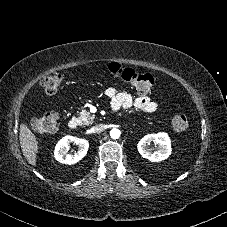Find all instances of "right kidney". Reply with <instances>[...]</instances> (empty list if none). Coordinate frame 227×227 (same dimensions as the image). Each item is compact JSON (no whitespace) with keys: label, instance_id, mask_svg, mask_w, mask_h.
<instances>
[{"label":"right kidney","instance_id":"1","mask_svg":"<svg viewBox=\"0 0 227 227\" xmlns=\"http://www.w3.org/2000/svg\"><path fill=\"white\" fill-rule=\"evenodd\" d=\"M72 142L78 145V151L74 154H69L68 148ZM88 148L89 142L87 140L73 136H65L57 143L54 150V157L60 163L68 165L75 164L86 155Z\"/></svg>","mask_w":227,"mask_h":227}]
</instances>
